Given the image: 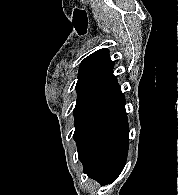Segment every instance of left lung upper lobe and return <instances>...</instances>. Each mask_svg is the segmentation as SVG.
I'll return each mask as SVG.
<instances>
[{"label": "left lung upper lobe", "instance_id": "obj_1", "mask_svg": "<svg viewBox=\"0 0 178 195\" xmlns=\"http://www.w3.org/2000/svg\"><path fill=\"white\" fill-rule=\"evenodd\" d=\"M113 68L108 49L97 50L81 62L73 111L74 135L122 94Z\"/></svg>", "mask_w": 178, "mask_h": 195}]
</instances>
